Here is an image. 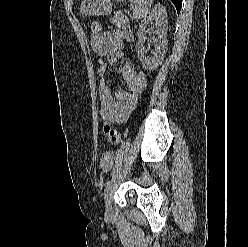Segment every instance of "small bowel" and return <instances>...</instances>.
I'll use <instances>...</instances> for the list:
<instances>
[{"label": "small bowel", "mask_w": 248, "mask_h": 247, "mask_svg": "<svg viewBox=\"0 0 248 247\" xmlns=\"http://www.w3.org/2000/svg\"><path fill=\"white\" fill-rule=\"evenodd\" d=\"M123 39L132 40L129 31L112 29L102 34H94L91 39V47L96 55L98 64L97 73L99 80L100 114L105 121L104 133L109 146H114L120 141V134L110 127V124L121 123L127 120L136 103L130 104V91H112L107 82L109 66L115 65L123 56ZM122 79L129 90L135 80L136 71L132 64L126 63L121 69ZM114 153L106 151L101 159V167L107 171L112 167Z\"/></svg>", "instance_id": "obj_1"}]
</instances>
